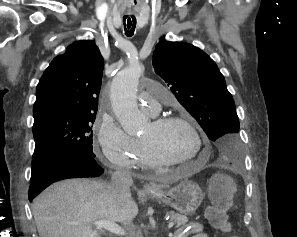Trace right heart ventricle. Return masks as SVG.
Returning a JSON list of instances; mask_svg holds the SVG:
<instances>
[{
    "label": "right heart ventricle",
    "mask_w": 297,
    "mask_h": 237,
    "mask_svg": "<svg viewBox=\"0 0 297 237\" xmlns=\"http://www.w3.org/2000/svg\"><path fill=\"white\" fill-rule=\"evenodd\" d=\"M138 143V152H137V163L136 166L141 168H154L155 164L150 160L148 154L142 144L141 141H137Z\"/></svg>",
    "instance_id": "e07e8e85"
}]
</instances>
